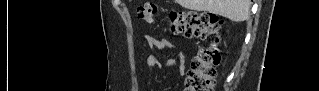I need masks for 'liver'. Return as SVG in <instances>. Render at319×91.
<instances>
[{
	"label": "liver",
	"instance_id": "liver-1",
	"mask_svg": "<svg viewBox=\"0 0 319 91\" xmlns=\"http://www.w3.org/2000/svg\"><path fill=\"white\" fill-rule=\"evenodd\" d=\"M184 8L195 11H208L234 22L249 16L251 0H177Z\"/></svg>",
	"mask_w": 319,
	"mask_h": 91
}]
</instances>
